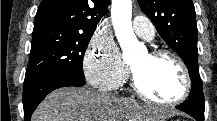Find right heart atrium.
Masks as SVG:
<instances>
[{"label":"right heart atrium","mask_w":217,"mask_h":121,"mask_svg":"<svg viewBox=\"0 0 217 121\" xmlns=\"http://www.w3.org/2000/svg\"><path fill=\"white\" fill-rule=\"evenodd\" d=\"M88 82L102 91L116 90L128 77V68L107 35L98 34L90 42L83 57Z\"/></svg>","instance_id":"d8ad5b80"}]
</instances>
